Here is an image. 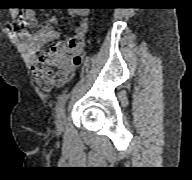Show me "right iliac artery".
Segmentation results:
<instances>
[{
    "label": "right iliac artery",
    "mask_w": 192,
    "mask_h": 180,
    "mask_svg": "<svg viewBox=\"0 0 192 180\" xmlns=\"http://www.w3.org/2000/svg\"><path fill=\"white\" fill-rule=\"evenodd\" d=\"M69 97V94H66V93H63L59 99H58V102H57V105H56V112L58 113L65 105V102L66 100L68 99Z\"/></svg>",
    "instance_id": "obj_1"
}]
</instances>
